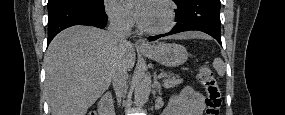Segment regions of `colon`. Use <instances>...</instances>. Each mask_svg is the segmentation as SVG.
<instances>
[{"label":"colon","mask_w":285,"mask_h":115,"mask_svg":"<svg viewBox=\"0 0 285 115\" xmlns=\"http://www.w3.org/2000/svg\"><path fill=\"white\" fill-rule=\"evenodd\" d=\"M198 80L206 91V114H220L222 93L212 70L207 66L200 67L198 70ZM89 115H95V113L91 112Z\"/></svg>","instance_id":"obj_1"}]
</instances>
